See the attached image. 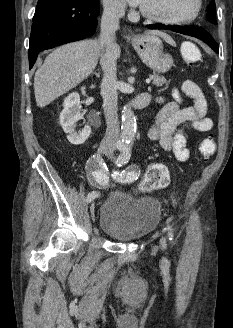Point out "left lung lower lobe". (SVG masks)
Returning a JSON list of instances; mask_svg holds the SVG:
<instances>
[{"instance_id": "1", "label": "left lung lower lobe", "mask_w": 233, "mask_h": 328, "mask_svg": "<svg viewBox=\"0 0 233 328\" xmlns=\"http://www.w3.org/2000/svg\"><path fill=\"white\" fill-rule=\"evenodd\" d=\"M149 29H169L174 32L196 37L206 42L215 52L219 53V48L212 36L206 31L195 26H171L151 24L148 25Z\"/></svg>"}]
</instances>
